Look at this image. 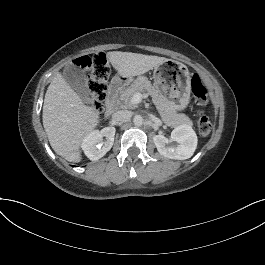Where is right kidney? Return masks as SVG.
Wrapping results in <instances>:
<instances>
[{"label":"right kidney","instance_id":"right-kidney-1","mask_svg":"<svg viewBox=\"0 0 265 265\" xmlns=\"http://www.w3.org/2000/svg\"><path fill=\"white\" fill-rule=\"evenodd\" d=\"M116 129L106 127L101 131L93 130L88 133L81 143L84 154L92 161L103 157L113 146ZM105 137V141H103Z\"/></svg>","mask_w":265,"mask_h":265}]
</instances>
